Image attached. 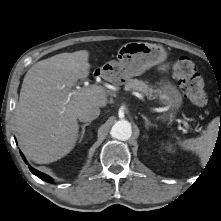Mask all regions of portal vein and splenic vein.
<instances>
[{"label":"portal vein and splenic vein","mask_w":221,"mask_h":221,"mask_svg":"<svg viewBox=\"0 0 221 221\" xmlns=\"http://www.w3.org/2000/svg\"><path fill=\"white\" fill-rule=\"evenodd\" d=\"M85 90V92L90 93V94H101V93H106L104 87L100 86V85H89L83 88ZM76 94V92H71L68 95V99L73 95ZM185 127H188V124L186 122H183Z\"/></svg>","instance_id":"1"}]
</instances>
